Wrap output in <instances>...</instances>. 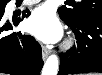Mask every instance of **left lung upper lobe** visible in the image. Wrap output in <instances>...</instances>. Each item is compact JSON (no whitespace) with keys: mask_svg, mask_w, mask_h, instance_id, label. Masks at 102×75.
Here are the masks:
<instances>
[{"mask_svg":"<svg viewBox=\"0 0 102 75\" xmlns=\"http://www.w3.org/2000/svg\"><path fill=\"white\" fill-rule=\"evenodd\" d=\"M59 15L66 21L78 18L102 17V0H70L58 9Z\"/></svg>","mask_w":102,"mask_h":75,"instance_id":"left-lung-upper-lobe-1","label":"left lung upper lobe"}]
</instances>
